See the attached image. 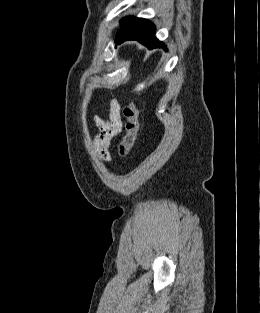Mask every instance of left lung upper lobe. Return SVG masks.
<instances>
[{
  "instance_id": "left-lung-upper-lobe-1",
  "label": "left lung upper lobe",
  "mask_w": 260,
  "mask_h": 313,
  "mask_svg": "<svg viewBox=\"0 0 260 313\" xmlns=\"http://www.w3.org/2000/svg\"><path fill=\"white\" fill-rule=\"evenodd\" d=\"M138 18L126 17L121 20V29L117 32L115 42H118L123 34L132 26Z\"/></svg>"
}]
</instances>
